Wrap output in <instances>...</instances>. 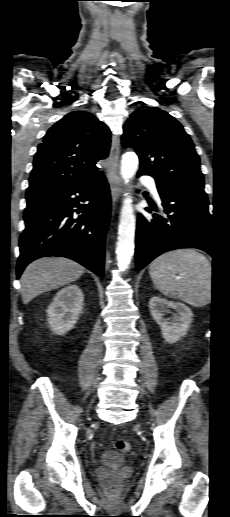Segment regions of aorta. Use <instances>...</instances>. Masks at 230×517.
<instances>
[{
  "label": "aorta",
  "instance_id": "obj_1",
  "mask_svg": "<svg viewBox=\"0 0 230 517\" xmlns=\"http://www.w3.org/2000/svg\"><path fill=\"white\" fill-rule=\"evenodd\" d=\"M138 168V157L133 152H127L122 156L120 174L125 183H128L135 175ZM121 208L118 239L116 244L117 264L120 270L128 268L134 253V240L136 229V217L132 206V199L127 194Z\"/></svg>",
  "mask_w": 230,
  "mask_h": 517
}]
</instances>
